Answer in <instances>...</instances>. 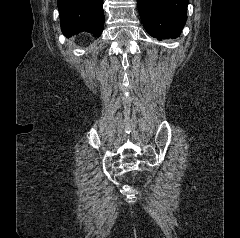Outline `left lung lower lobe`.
I'll list each match as a JSON object with an SVG mask.
<instances>
[{
	"label": "left lung lower lobe",
	"mask_w": 240,
	"mask_h": 238,
	"mask_svg": "<svg viewBox=\"0 0 240 238\" xmlns=\"http://www.w3.org/2000/svg\"><path fill=\"white\" fill-rule=\"evenodd\" d=\"M188 0H137L146 31L159 40L178 37L186 23Z\"/></svg>",
	"instance_id": "0a47b994"
}]
</instances>
